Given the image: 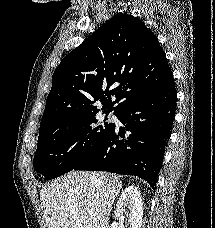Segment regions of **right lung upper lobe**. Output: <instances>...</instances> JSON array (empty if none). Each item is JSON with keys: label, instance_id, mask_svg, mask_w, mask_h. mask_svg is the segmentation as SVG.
<instances>
[{"label": "right lung upper lobe", "instance_id": "cb5924a9", "mask_svg": "<svg viewBox=\"0 0 215 228\" xmlns=\"http://www.w3.org/2000/svg\"><path fill=\"white\" fill-rule=\"evenodd\" d=\"M172 75L157 37L137 17L116 14L56 68L40 129L94 115L97 101L102 109L118 103L104 111L116 113L141 85Z\"/></svg>", "mask_w": 215, "mask_h": 228}]
</instances>
